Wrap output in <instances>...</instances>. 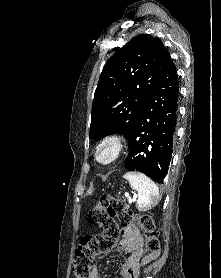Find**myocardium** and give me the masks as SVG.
I'll use <instances>...</instances> for the list:
<instances>
[{
	"label": "myocardium",
	"mask_w": 221,
	"mask_h": 278,
	"mask_svg": "<svg viewBox=\"0 0 221 278\" xmlns=\"http://www.w3.org/2000/svg\"><path fill=\"white\" fill-rule=\"evenodd\" d=\"M102 147H109L112 150V156L106 161H102L99 157V151ZM124 150V139L117 134H108L101 138L96 144L94 148V158L100 165L109 166L121 159L124 154Z\"/></svg>",
	"instance_id": "f54148a6"
}]
</instances>
